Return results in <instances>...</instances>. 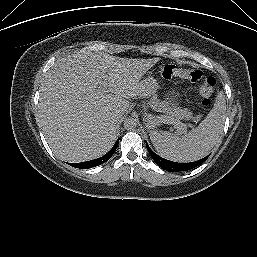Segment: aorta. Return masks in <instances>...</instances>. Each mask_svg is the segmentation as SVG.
Here are the masks:
<instances>
[{"mask_svg":"<svg viewBox=\"0 0 257 257\" xmlns=\"http://www.w3.org/2000/svg\"><path fill=\"white\" fill-rule=\"evenodd\" d=\"M138 121L133 117H128L124 120V128L127 130H134L137 127Z\"/></svg>","mask_w":257,"mask_h":257,"instance_id":"obj_1","label":"aorta"}]
</instances>
